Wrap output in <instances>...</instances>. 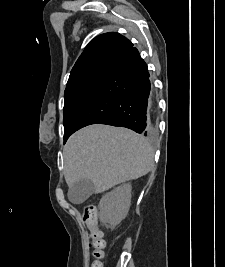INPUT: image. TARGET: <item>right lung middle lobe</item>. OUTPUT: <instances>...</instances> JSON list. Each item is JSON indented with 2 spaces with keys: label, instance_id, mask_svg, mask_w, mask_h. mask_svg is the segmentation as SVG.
<instances>
[{
  "label": "right lung middle lobe",
  "instance_id": "right-lung-middle-lobe-1",
  "mask_svg": "<svg viewBox=\"0 0 225 267\" xmlns=\"http://www.w3.org/2000/svg\"><path fill=\"white\" fill-rule=\"evenodd\" d=\"M105 74H98L85 77L73 84L66 86L64 98V143L72 134L75 119L90 97L96 86L100 83Z\"/></svg>",
  "mask_w": 225,
  "mask_h": 267
}]
</instances>
